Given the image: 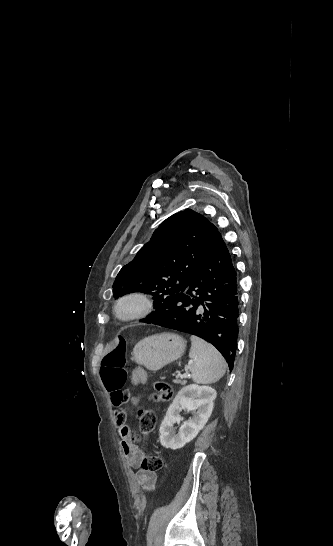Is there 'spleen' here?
I'll use <instances>...</instances> for the list:
<instances>
[{"mask_svg": "<svg viewBox=\"0 0 333 546\" xmlns=\"http://www.w3.org/2000/svg\"><path fill=\"white\" fill-rule=\"evenodd\" d=\"M189 357L192 360L191 376L198 384H211L220 380L226 371L222 355L212 345L197 336H191Z\"/></svg>", "mask_w": 333, "mask_h": 546, "instance_id": "1", "label": "spleen"}]
</instances>
